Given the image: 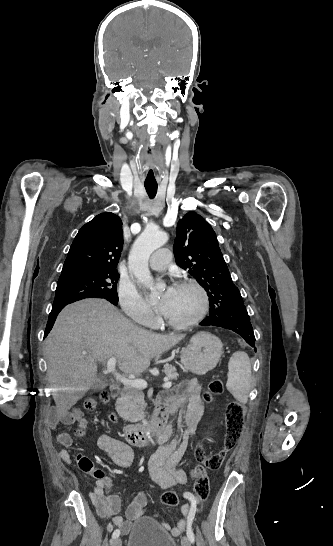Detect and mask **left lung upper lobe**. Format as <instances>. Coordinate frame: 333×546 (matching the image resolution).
Masks as SVG:
<instances>
[{
  "label": "left lung upper lobe",
  "mask_w": 333,
  "mask_h": 546,
  "mask_svg": "<svg viewBox=\"0 0 333 546\" xmlns=\"http://www.w3.org/2000/svg\"><path fill=\"white\" fill-rule=\"evenodd\" d=\"M173 251L177 265L187 269L207 291L209 316L226 317L245 309L216 234L200 215L188 212L179 220Z\"/></svg>",
  "instance_id": "obj_1"
}]
</instances>
